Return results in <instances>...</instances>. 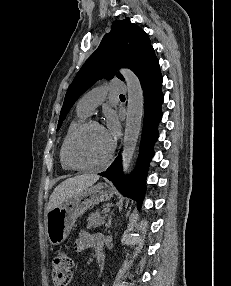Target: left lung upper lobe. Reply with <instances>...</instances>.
I'll list each match as a JSON object with an SVG mask.
<instances>
[{"mask_svg": "<svg viewBox=\"0 0 231 286\" xmlns=\"http://www.w3.org/2000/svg\"><path fill=\"white\" fill-rule=\"evenodd\" d=\"M154 49L148 35L129 18L113 23L111 32L106 34L97 50L87 59L69 86L60 112L58 128L75 101L96 80L112 79L116 75L124 80L117 70L131 69L137 76L153 60Z\"/></svg>", "mask_w": 231, "mask_h": 286, "instance_id": "1", "label": "left lung upper lobe"}]
</instances>
